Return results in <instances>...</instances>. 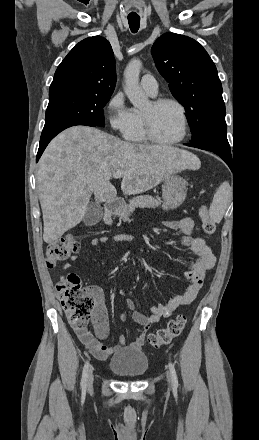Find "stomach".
I'll return each mask as SVG.
<instances>
[{
    "label": "stomach",
    "mask_w": 259,
    "mask_h": 440,
    "mask_svg": "<svg viewBox=\"0 0 259 440\" xmlns=\"http://www.w3.org/2000/svg\"><path fill=\"white\" fill-rule=\"evenodd\" d=\"M187 181L174 174L168 175L162 186L163 210H172L179 207L186 198ZM124 206L117 209L116 213L122 216Z\"/></svg>",
    "instance_id": "obj_1"
}]
</instances>
